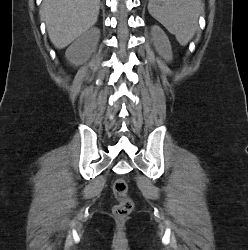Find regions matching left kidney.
<instances>
[{
  "label": "left kidney",
  "mask_w": 248,
  "mask_h": 250,
  "mask_svg": "<svg viewBox=\"0 0 248 250\" xmlns=\"http://www.w3.org/2000/svg\"><path fill=\"white\" fill-rule=\"evenodd\" d=\"M151 35L154 42V47L158 54L167 62L173 58L172 47L167 35L157 25L151 29Z\"/></svg>",
  "instance_id": "left-kidney-1"
}]
</instances>
